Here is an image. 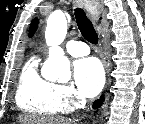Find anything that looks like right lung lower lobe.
<instances>
[{
    "instance_id": "98d812e1",
    "label": "right lung lower lobe",
    "mask_w": 145,
    "mask_h": 124,
    "mask_svg": "<svg viewBox=\"0 0 145 124\" xmlns=\"http://www.w3.org/2000/svg\"><path fill=\"white\" fill-rule=\"evenodd\" d=\"M102 100H103V97H101L100 100L96 101V102L94 103V108H97V106L101 105Z\"/></svg>"
}]
</instances>
